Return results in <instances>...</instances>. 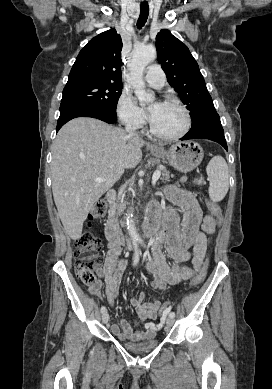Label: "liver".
Returning <instances> with one entry per match:
<instances>
[{"instance_id": "1", "label": "liver", "mask_w": 272, "mask_h": 389, "mask_svg": "<svg viewBox=\"0 0 272 389\" xmlns=\"http://www.w3.org/2000/svg\"><path fill=\"white\" fill-rule=\"evenodd\" d=\"M145 142L94 118L66 123L54 141L51 178L59 217L71 239L81 237L94 203L138 165ZM103 178V182H96Z\"/></svg>"}]
</instances>
